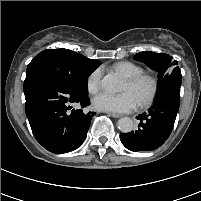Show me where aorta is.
<instances>
[{
    "mask_svg": "<svg viewBox=\"0 0 201 201\" xmlns=\"http://www.w3.org/2000/svg\"><path fill=\"white\" fill-rule=\"evenodd\" d=\"M101 87L107 92L115 93L121 90V82L114 74H107L101 80ZM117 125L123 133H129L134 128L133 121L129 117L119 119Z\"/></svg>",
    "mask_w": 201,
    "mask_h": 201,
    "instance_id": "aorta-1",
    "label": "aorta"
}]
</instances>
